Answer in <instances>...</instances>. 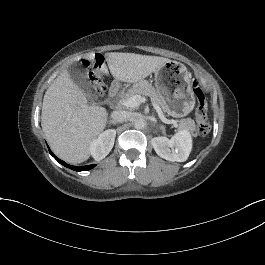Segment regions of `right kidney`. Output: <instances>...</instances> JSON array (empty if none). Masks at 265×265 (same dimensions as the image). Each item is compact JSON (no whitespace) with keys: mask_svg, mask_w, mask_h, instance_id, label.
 <instances>
[{"mask_svg":"<svg viewBox=\"0 0 265 265\" xmlns=\"http://www.w3.org/2000/svg\"><path fill=\"white\" fill-rule=\"evenodd\" d=\"M115 136L116 130L108 129L90 142L89 151L96 161L102 160L109 154L114 146Z\"/></svg>","mask_w":265,"mask_h":265,"instance_id":"ca27d5eb","label":"right kidney"}]
</instances>
